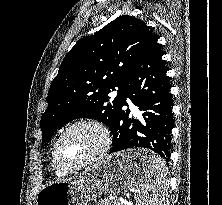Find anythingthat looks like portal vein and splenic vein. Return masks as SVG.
I'll return each mask as SVG.
<instances>
[{
	"instance_id": "1",
	"label": "portal vein and splenic vein",
	"mask_w": 222,
	"mask_h": 205,
	"mask_svg": "<svg viewBox=\"0 0 222 205\" xmlns=\"http://www.w3.org/2000/svg\"><path fill=\"white\" fill-rule=\"evenodd\" d=\"M130 192H134V190H131ZM119 201H121L122 203L126 202V200L122 197H119Z\"/></svg>"
}]
</instances>
